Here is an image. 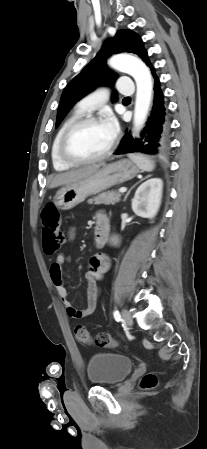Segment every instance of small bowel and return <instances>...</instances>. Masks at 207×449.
<instances>
[{"label": "small bowel", "mask_w": 207, "mask_h": 449, "mask_svg": "<svg viewBox=\"0 0 207 449\" xmlns=\"http://www.w3.org/2000/svg\"><path fill=\"white\" fill-rule=\"evenodd\" d=\"M96 223L101 220L104 222L107 230L105 237V242L109 239V232L111 228V221L109 217L103 213L99 212L95 217ZM73 232H70L72 237ZM70 260L69 256L64 253H60L56 256L54 262L50 266V277L56 287L57 293L65 307L66 313L70 318L73 319H83L91 315L97 308L100 289L98 286V281L103 277L104 273L109 267L108 259L103 255H95L91 258L89 269L86 272V281L88 284V302L84 309H76L70 299L68 298V292L64 285L63 279V265Z\"/></svg>", "instance_id": "small-bowel-1"}]
</instances>
